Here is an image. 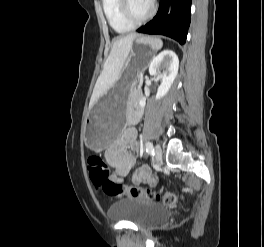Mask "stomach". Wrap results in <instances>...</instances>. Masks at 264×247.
Segmentation results:
<instances>
[{"label": "stomach", "instance_id": "stomach-1", "mask_svg": "<svg viewBox=\"0 0 264 247\" xmlns=\"http://www.w3.org/2000/svg\"><path fill=\"white\" fill-rule=\"evenodd\" d=\"M146 38H139L136 40L138 44H133L123 75L107 97L95 101V106L85 120V143L95 152L107 148L122 131L132 86L137 82L139 74L149 68L147 62L152 58V48H149Z\"/></svg>", "mask_w": 264, "mask_h": 247}]
</instances>
